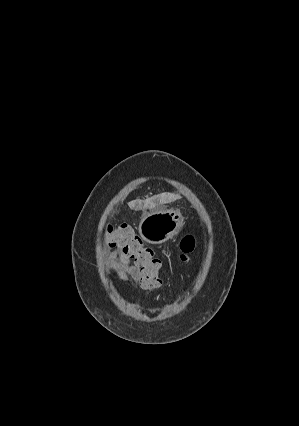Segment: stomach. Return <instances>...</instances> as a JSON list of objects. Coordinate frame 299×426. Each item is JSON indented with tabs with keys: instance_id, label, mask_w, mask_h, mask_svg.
Here are the masks:
<instances>
[{
	"instance_id": "stomach-1",
	"label": "stomach",
	"mask_w": 299,
	"mask_h": 426,
	"mask_svg": "<svg viewBox=\"0 0 299 426\" xmlns=\"http://www.w3.org/2000/svg\"><path fill=\"white\" fill-rule=\"evenodd\" d=\"M184 223V217L178 209H160L145 214L138 231L146 242L161 244L177 235Z\"/></svg>"
}]
</instances>
